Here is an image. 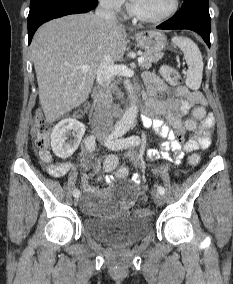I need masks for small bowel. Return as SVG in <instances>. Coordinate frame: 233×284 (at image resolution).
<instances>
[{"label": "small bowel", "mask_w": 233, "mask_h": 284, "mask_svg": "<svg viewBox=\"0 0 233 284\" xmlns=\"http://www.w3.org/2000/svg\"><path fill=\"white\" fill-rule=\"evenodd\" d=\"M145 81L149 99L142 114L143 124L165 139L161 144L160 153L155 149H150L147 156L154 160L162 158L179 165L185 153L207 149L211 144L213 117L207 116L196 128L193 136L188 139L185 138L186 128L182 123L183 116L188 114L192 107L206 104L203 94L179 86L174 89L172 96L159 99L157 96L167 91V85L159 77L152 74H148ZM133 159L138 162V155L133 154ZM71 167L70 162H57L49 164L47 170L51 176L60 178L68 174ZM133 181L139 182L137 174L133 175ZM82 182L87 193L83 201V208L88 212H95L96 203L90 195L93 192V187L87 174H83Z\"/></svg>", "instance_id": "small-bowel-1"}]
</instances>
